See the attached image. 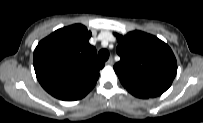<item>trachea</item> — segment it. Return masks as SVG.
Returning a JSON list of instances; mask_svg holds the SVG:
<instances>
[{"label":"trachea","instance_id":"3493384b","mask_svg":"<svg viewBox=\"0 0 203 123\" xmlns=\"http://www.w3.org/2000/svg\"><path fill=\"white\" fill-rule=\"evenodd\" d=\"M108 58H109V52H108V50L102 49V50L99 51V53H98V59L100 61H106V60H108Z\"/></svg>","mask_w":203,"mask_h":123}]
</instances>
